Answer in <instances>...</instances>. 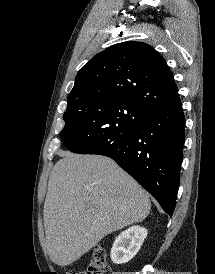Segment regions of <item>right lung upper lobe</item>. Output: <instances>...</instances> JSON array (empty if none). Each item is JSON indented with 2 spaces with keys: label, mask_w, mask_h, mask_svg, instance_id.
Here are the masks:
<instances>
[{
  "label": "right lung upper lobe",
  "mask_w": 215,
  "mask_h": 274,
  "mask_svg": "<svg viewBox=\"0 0 215 274\" xmlns=\"http://www.w3.org/2000/svg\"><path fill=\"white\" fill-rule=\"evenodd\" d=\"M124 101L150 112L180 103L164 58L141 42H123L97 54L78 72L68 102Z\"/></svg>",
  "instance_id": "cb5924a9"
}]
</instances>
